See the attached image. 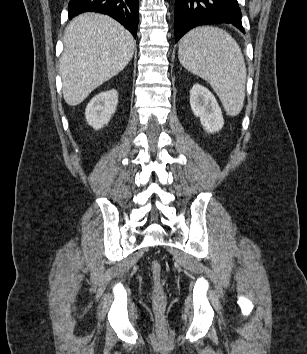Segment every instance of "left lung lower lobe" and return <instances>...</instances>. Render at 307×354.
<instances>
[{
  "label": "left lung lower lobe",
  "mask_w": 307,
  "mask_h": 354,
  "mask_svg": "<svg viewBox=\"0 0 307 354\" xmlns=\"http://www.w3.org/2000/svg\"><path fill=\"white\" fill-rule=\"evenodd\" d=\"M226 23L245 33L237 0H176L175 42L196 26Z\"/></svg>",
  "instance_id": "obj_1"
}]
</instances>
